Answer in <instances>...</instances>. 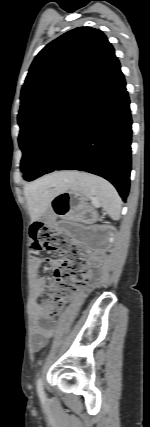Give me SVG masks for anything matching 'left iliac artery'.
Returning a JSON list of instances; mask_svg holds the SVG:
<instances>
[{
	"label": "left iliac artery",
	"instance_id": "obj_1",
	"mask_svg": "<svg viewBox=\"0 0 150 427\" xmlns=\"http://www.w3.org/2000/svg\"><path fill=\"white\" fill-rule=\"evenodd\" d=\"M36 387H37V392H38L39 397L41 399H44L45 394H44L43 382H42V378L41 377L38 378Z\"/></svg>",
	"mask_w": 150,
	"mask_h": 427
}]
</instances>
